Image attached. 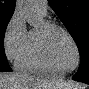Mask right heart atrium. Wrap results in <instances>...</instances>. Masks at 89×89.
I'll return each mask as SVG.
<instances>
[{"instance_id":"1","label":"right heart atrium","mask_w":89,"mask_h":89,"mask_svg":"<svg viewBox=\"0 0 89 89\" xmlns=\"http://www.w3.org/2000/svg\"><path fill=\"white\" fill-rule=\"evenodd\" d=\"M28 37L23 17L15 12L7 24L3 38L4 51L10 61L17 63L27 47Z\"/></svg>"}]
</instances>
